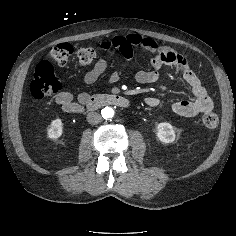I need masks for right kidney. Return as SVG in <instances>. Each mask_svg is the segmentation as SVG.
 <instances>
[{
    "label": "right kidney",
    "mask_w": 236,
    "mask_h": 236,
    "mask_svg": "<svg viewBox=\"0 0 236 236\" xmlns=\"http://www.w3.org/2000/svg\"><path fill=\"white\" fill-rule=\"evenodd\" d=\"M48 137L51 139H58L63 134V123L60 119H56L51 122L48 130Z\"/></svg>",
    "instance_id": "1"
}]
</instances>
